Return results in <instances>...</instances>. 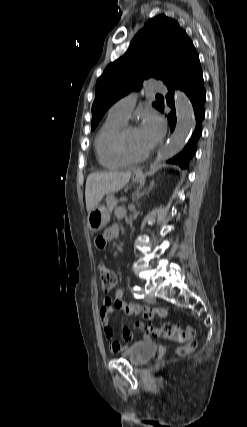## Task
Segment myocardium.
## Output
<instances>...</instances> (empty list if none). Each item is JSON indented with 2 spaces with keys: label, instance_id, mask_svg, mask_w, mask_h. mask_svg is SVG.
Returning <instances> with one entry per match:
<instances>
[{
  "label": "myocardium",
  "instance_id": "1",
  "mask_svg": "<svg viewBox=\"0 0 247 427\" xmlns=\"http://www.w3.org/2000/svg\"><path fill=\"white\" fill-rule=\"evenodd\" d=\"M132 128H135V127L133 125L125 123L124 126L119 131L116 139L117 153L121 157V159L125 161L127 164L142 162L146 160L151 153V150L148 149L141 155L134 156L128 151L127 144H126V135H127V132Z\"/></svg>",
  "mask_w": 247,
  "mask_h": 427
}]
</instances>
